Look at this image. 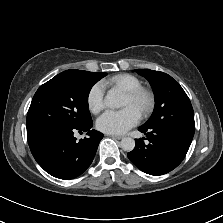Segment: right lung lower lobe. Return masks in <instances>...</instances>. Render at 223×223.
Listing matches in <instances>:
<instances>
[{"mask_svg": "<svg viewBox=\"0 0 223 223\" xmlns=\"http://www.w3.org/2000/svg\"><path fill=\"white\" fill-rule=\"evenodd\" d=\"M93 122L81 127H55L27 134L28 144L37 163L50 175L72 179L82 174L91 164L103 134L90 130ZM78 130L88 138L76 142Z\"/></svg>", "mask_w": 223, "mask_h": 223, "instance_id": "98d812e1", "label": "right lung lower lobe"}]
</instances>
